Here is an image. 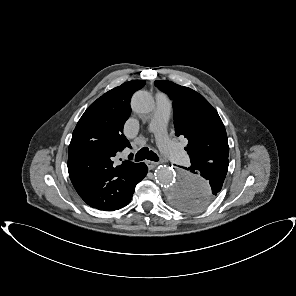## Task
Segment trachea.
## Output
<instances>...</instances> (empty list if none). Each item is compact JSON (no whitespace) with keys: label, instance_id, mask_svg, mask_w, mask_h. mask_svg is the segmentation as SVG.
I'll list each match as a JSON object with an SVG mask.
<instances>
[{"label":"trachea","instance_id":"1","mask_svg":"<svg viewBox=\"0 0 296 296\" xmlns=\"http://www.w3.org/2000/svg\"><path fill=\"white\" fill-rule=\"evenodd\" d=\"M151 160V161H159V157L153 151H149L147 147H143L140 149L137 154L135 155V161H142V160Z\"/></svg>","mask_w":296,"mask_h":296}]
</instances>
